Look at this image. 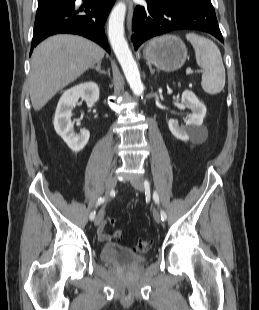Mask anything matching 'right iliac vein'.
Wrapping results in <instances>:
<instances>
[{"label":"right iliac vein","mask_w":259,"mask_h":310,"mask_svg":"<svg viewBox=\"0 0 259 310\" xmlns=\"http://www.w3.org/2000/svg\"><path fill=\"white\" fill-rule=\"evenodd\" d=\"M117 185V178L116 177H111L108 182H107V186H106V198L108 197L109 193L116 187ZM103 215H104V211L103 208L98 212L95 220H94V224L95 226H98L102 219H103Z\"/></svg>","instance_id":"right-iliac-vein-1"}]
</instances>
